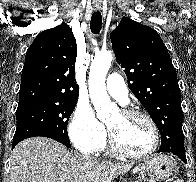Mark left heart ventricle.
I'll return each mask as SVG.
<instances>
[{"mask_svg": "<svg viewBox=\"0 0 196 182\" xmlns=\"http://www.w3.org/2000/svg\"><path fill=\"white\" fill-rule=\"evenodd\" d=\"M107 126L117 141L130 152L144 153L153 144L151 127L142 118L128 117L118 112L107 122Z\"/></svg>", "mask_w": 196, "mask_h": 182, "instance_id": "obj_1", "label": "left heart ventricle"}]
</instances>
